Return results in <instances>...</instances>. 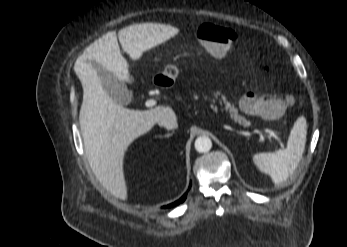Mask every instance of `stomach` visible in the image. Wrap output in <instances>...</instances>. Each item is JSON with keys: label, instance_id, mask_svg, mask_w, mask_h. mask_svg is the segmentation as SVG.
I'll return each instance as SVG.
<instances>
[{"label": "stomach", "instance_id": "stomach-1", "mask_svg": "<svg viewBox=\"0 0 347 247\" xmlns=\"http://www.w3.org/2000/svg\"><path fill=\"white\" fill-rule=\"evenodd\" d=\"M177 68L175 66L169 65L166 66L164 71L160 74L164 78H168L171 81H174L177 75Z\"/></svg>", "mask_w": 347, "mask_h": 247}]
</instances>
